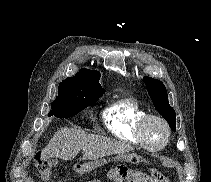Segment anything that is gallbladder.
<instances>
[{"mask_svg":"<svg viewBox=\"0 0 211 182\" xmlns=\"http://www.w3.org/2000/svg\"><path fill=\"white\" fill-rule=\"evenodd\" d=\"M51 161H52L53 165H57L58 164V160L57 159L52 158Z\"/></svg>","mask_w":211,"mask_h":182,"instance_id":"bac80fb5","label":"gallbladder"}]
</instances>
